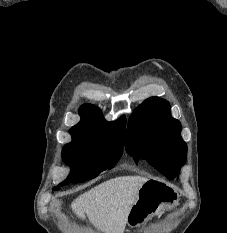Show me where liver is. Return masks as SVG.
Masks as SVG:
<instances>
[{
  "instance_id": "1",
  "label": "liver",
  "mask_w": 227,
  "mask_h": 233,
  "mask_svg": "<svg viewBox=\"0 0 227 233\" xmlns=\"http://www.w3.org/2000/svg\"><path fill=\"white\" fill-rule=\"evenodd\" d=\"M148 179L142 176H119L81 194L71 204L74 213L104 233H123L128 215L138 199V191Z\"/></svg>"
}]
</instances>
